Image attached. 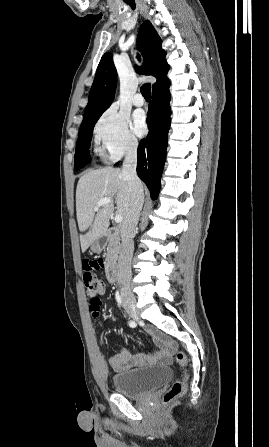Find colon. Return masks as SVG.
Instances as JSON below:
<instances>
[{
  "instance_id": "1",
  "label": "colon",
  "mask_w": 269,
  "mask_h": 447,
  "mask_svg": "<svg viewBox=\"0 0 269 447\" xmlns=\"http://www.w3.org/2000/svg\"><path fill=\"white\" fill-rule=\"evenodd\" d=\"M105 265L104 257H85L84 259V272L83 285L85 288L86 296L93 298L90 303V311L97 312L100 302V295L105 292L104 281L97 278L93 272L88 271H102ZM93 318H98V313H93ZM169 350V348H167ZM183 368V378L175 380L172 386L165 392L162 398L164 405H169L175 402L180 396L183 395L186 388V367L188 366V359L186 354L181 350H174L171 358Z\"/></svg>"
}]
</instances>
